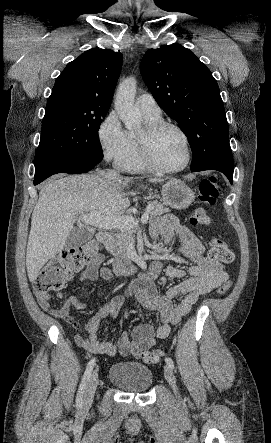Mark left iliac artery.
I'll return each mask as SVG.
<instances>
[{"label":"left iliac artery","mask_w":271,"mask_h":443,"mask_svg":"<svg viewBox=\"0 0 271 443\" xmlns=\"http://www.w3.org/2000/svg\"><path fill=\"white\" fill-rule=\"evenodd\" d=\"M165 362L171 369H175L174 362L171 358H169V357L165 358Z\"/></svg>","instance_id":"1"}]
</instances>
